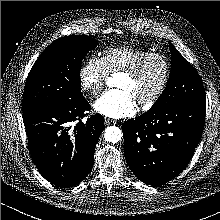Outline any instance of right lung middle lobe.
Wrapping results in <instances>:
<instances>
[{"mask_svg": "<svg viewBox=\"0 0 220 220\" xmlns=\"http://www.w3.org/2000/svg\"><path fill=\"white\" fill-rule=\"evenodd\" d=\"M98 41L88 36H65L52 42L28 74L22 108L47 104L72 105L84 96L80 68Z\"/></svg>", "mask_w": 220, "mask_h": 220, "instance_id": "1", "label": "right lung middle lobe"}]
</instances>
